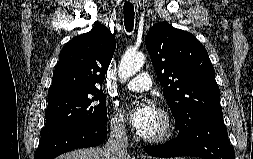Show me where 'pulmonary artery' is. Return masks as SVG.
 <instances>
[{"label":"pulmonary artery","instance_id":"obj_1","mask_svg":"<svg viewBox=\"0 0 253 159\" xmlns=\"http://www.w3.org/2000/svg\"><path fill=\"white\" fill-rule=\"evenodd\" d=\"M126 87L135 92H143L149 90L152 87L150 76L146 72L138 74L126 83Z\"/></svg>","mask_w":253,"mask_h":159}]
</instances>
